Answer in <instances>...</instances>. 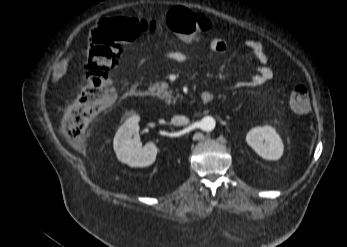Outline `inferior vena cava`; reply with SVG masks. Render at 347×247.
I'll list each match as a JSON object with an SVG mask.
<instances>
[{"mask_svg": "<svg viewBox=\"0 0 347 247\" xmlns=\"http://www.w3.org/2000/svg\"><path fill=\"white\" fill-rule=\"evenodd\" d=\"M171 123L175 126H183L189 123V119L185 116L176 115L172 117Z\"/></svg>", "mask_w": 347, "mask_h": 247, "instance_id": "602c4592", "label": "inferior vena cava"}]
</instances>
